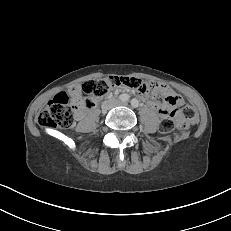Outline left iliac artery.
<instances>
[{
    "label": "left iliac artery",
    "instance_id": "left-iliac-artery-1",
    "mask_svg": "<svg viewBox=\"0 0 231 231\" xmlns=\"http://www.w3.org/2000/svg\"><path fill=\"white\" fill-rule=\"evenodd\" d=\"M131 105L134 107V108H137L139 106V102L137 99H132L131 100Z\"/></svg>",
    "mask_w": 231,
    "mask_h": 231
}]
</instances>
